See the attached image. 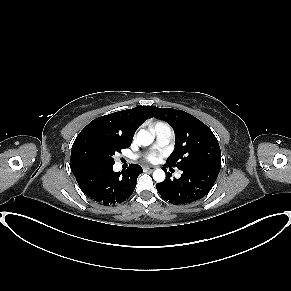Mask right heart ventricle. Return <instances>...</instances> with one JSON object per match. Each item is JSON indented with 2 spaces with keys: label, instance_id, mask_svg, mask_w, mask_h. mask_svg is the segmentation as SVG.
Segmentation results:
<instances>
[{
  "label": "right heart ventricle",
  "instance_id": "e07e8e85",
  "mask_svg": "<svg viewBox=\"0 0 291 291\" xmlns=\"http://www.w3.org/2000/svg\"><path fill=\"white\" fill-rule=\"evenodd\" d=\"M165 123H163V122H156L155 124H154V128H156L157 126H159V125H164Z\"/></svg>",
  "mask_w": 291,
  "mask_h": 291
}]
</instances>
